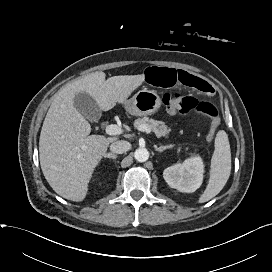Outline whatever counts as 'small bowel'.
Instances as JSON below:
<instances>
[{
  "label": "small bowel",
  "mask_w": 272,
  "mask_h": 272,
  "mask_svg": "<svg viewBox=\"0 0 272 272\" xmlns=\"http://www.w3.org/2000/svg\"><path fill=\"white\" fill-rule=\"evenodd\" d=\"M146 81L156 87L172 88L183 86L203 93H211L214 88L201 78L184 70L150 67L145 71Z\"/></svg>",
  "instance_id": "small-bowel-1"
}]
</instances>
